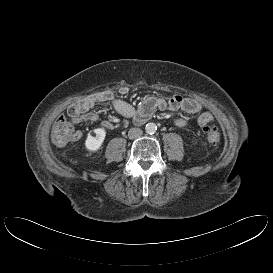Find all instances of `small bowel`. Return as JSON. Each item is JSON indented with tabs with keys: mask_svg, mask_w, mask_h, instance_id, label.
Returning <instances> with one entry per match:
<instances>
[{
	"mask_svg": "<svg viewBox=\"0 0 273 273\" xmlns=\"http://www.w3.org/2000/svg\"><path fill=\"white\" fill-rule=\"evenodd\" d=\"M120 92L121 94H127L128 88L123 87ZM100 102H110L117 113L123 117L132 119L136 124L144 123L157 109L169 111L181 110L185 114H196L202 111V105L198 101L192 98H182L178 95L171 96L166 100L149 96L140 102L137 107H134L124 100L115 98L113 92L105 91L89 95L83 100L72 104L68 108V114L75 123L95 122L97 115L91 109L95 104ZM213 119L214 117L210 112H201L196 121L199 126L205 127ZM175 124L179 127H184L188 124V120L186 118H178ZM104 126L110 127L111 124L105 122ZM81 137L82 133L77 132L75 139L78 140Z\"/></svg>",
	"mask_w": 273,
	"mask_h": 273,
	"instance_id": "obj_1",
	"label": "small bowel"
}]
</instances>
